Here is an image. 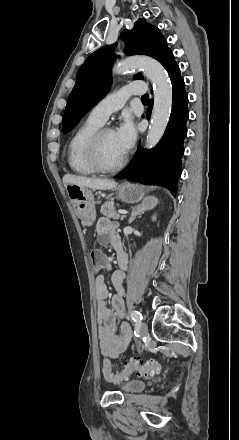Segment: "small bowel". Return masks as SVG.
<instances>
[{
	"label": "small bowel",
	"instance_id": "1",
	"mask_svg": "<svg viewBox=\"0 0 239 440\" xmlns=\"http://www.w3.org/2000/svg\"><path fill=\"white\" fill-rule=\"evenodd\" d=\"M97 240L100 244H111L118 252L120 270L113 272L112 284L116 293L111 297V308L107 304L108 288L104 275H98L95 280L97 300L98 335L101 352L109 358H118L131 340L132 330L128 323L122 322L119 327L117 318L125 315L123 300L124 282L126 280L127 256L123 251L116 226L107 218H100L96 227ZM107 264V268H109Z\"/></svg>",
	"mask_w": 239,
	"mask_h": 440
}]
</instances>
